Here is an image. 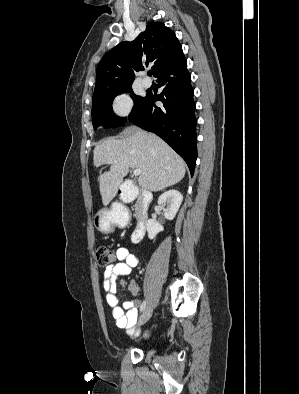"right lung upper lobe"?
<instances>
[{"label": "right lung upper lobe", "mask_w": 299, "mask_h": 394, "mask_svg": "<svg viewBox=\"0 0 299 394\" xmlns=\"http://www.w3.org/2000/svg\"><path fill=\"white\" fill-rule=\"evenodd\" d=\"M182 56L175 33L162 23L151 22L135 40L121 42L105 54L97 67L94 93L132 85L134 72L143 70V65H152L156 77Z\"/></svg>", "instance_id": "1"}]
</instances>
